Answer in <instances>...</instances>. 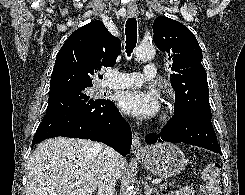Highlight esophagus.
<instances>
[{
	"mask_svg": "<svg viewBox=\"0 0 245 195\" xmlns=\"http://www.w3.org/2000/svg\"><path fill=\"white\" fill-rule=\"evenodd\" d=\"M127 12L129 16H133V17L139 14L138 7L135 5L128 6ZM131 151L134 154H139L142 151V146H141L140 139L137 133L133 134Z\"/></svg>",
	"mask_w": 245,
	"mask_h": 195,
	"instance_id": "1",
	"label": "esophagus"
}]
</instances>
